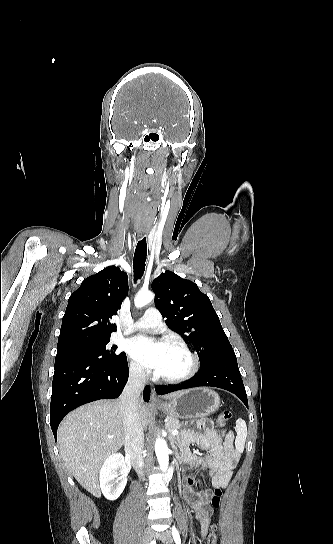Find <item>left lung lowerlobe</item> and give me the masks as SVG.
Masks as SVG:
<instances>
[{
    "label": "left lung lower lobe",
    "instance_id": "1",
    "mask_svg": "<svg viewBox=\"0 0 333 544\" xmlns=\"http://www.w3.org/2000/svg\"><path fill=\"white\" fill-rule=\"evenodd\" d=\"M212 386L234 393L248 408V400L243 381L238 368L237 360H215L204 367H200L198 374L188 382L178 386H157L155 391L164 395L173 391Z\"/></svg>",
    "mask_w": 333,
    "mask_h": 544
}]
</instances>
